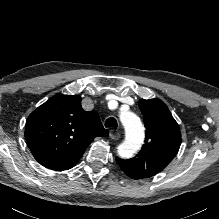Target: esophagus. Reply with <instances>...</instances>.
<instances>
[{
  "label": "esophagus",
  "instance_id": "1",
  "mask_svg": "<svg viewBox=\"0 0 219 219\" xmlns=\"http://www.w3.org/2000/svg\"><path fill=\"white\" fill-rule=\"evenodd\" d=\"M109 137L113 140H118L120 138V134L118 132H115L114 130H111Z\"/></svg>",
  "mask_w": 219,
  "mask_h": 219
}]
</instances>
